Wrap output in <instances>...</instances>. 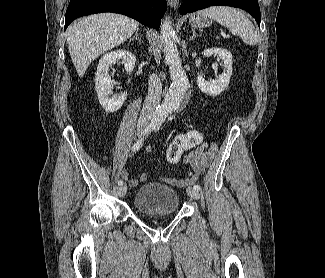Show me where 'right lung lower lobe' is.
Segmentation results:
<instances>
[{"label": "right lung lower lobe", "instance_id": "right-lung-lower-lobe-1", "mask_svg": "<svg viewBox=\"0 0 325 278\" xmlns=\"http://www.w3.org/2000/svg\"><path fill=\"white\" fill-rule=\"evenodd\" d=\"M166 8V0H70L64 30L78 17L101 12L124 14L158 30Z\"/></svg>", "mask_w": 325, "mask_h": 278}]
</instances>
